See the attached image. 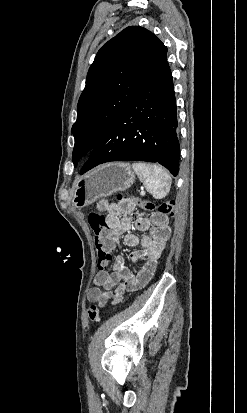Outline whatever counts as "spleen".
<instances>
[{"instance_id":"1","label":"spleen","mask_w":247,"mask_h":413,"mask_svg":"<svg viewBox=\"0 0 247 413\" xmlns=\"http://www.w3.org/2000/svg\"><path fill=\"white\" fill-rule=\"evenodd\" d=\"M144 162H133L132 168L142 180L146 190L153 194L154 198H163L170 190L171 176L166 168L159 166L151 172L143 168Z\"/></svg>"}]
</instances>
